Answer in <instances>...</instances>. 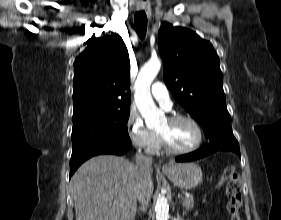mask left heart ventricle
Returning a JSON list of instances; mask_svg holds the SVG:
<instances>
[{
    "instance_id": "1",
    "label": "left heart ventricle",
    "mask_w": 281,
    "mask_h": 220,
    "mask_svg": "<svg viewBox=\"0 0 281 220\" xmlns=\"http://www.w3.org/2000/svg\"><path fill=\"white\" fill-rule=\"evenodd\" d=\"M157 132L162 134L168 144L175 149H188L197 141L196 129L187 120L170 122L165 119Z\"/></svg>"
}]
</instances>
